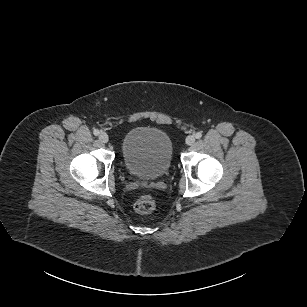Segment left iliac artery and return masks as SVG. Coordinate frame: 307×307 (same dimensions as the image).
Here are the masks:
<instances>
[{
    "label": "left iliac artery",
    "instance_id": "44dca946",
    "mask_svg": "<svg viewBox=\"0 0 307 307\" xmlns=\"http://www.w3.org/2000/svg\"><path fill=\"white\" fill-rule=\"evenodd\" d=\"M202 137V133L201 132H197L196 134H195V138L196 139H200Z\"/></svg>",
    "mask_w": 307,
    "mask_h": 307
}]
</instances>
